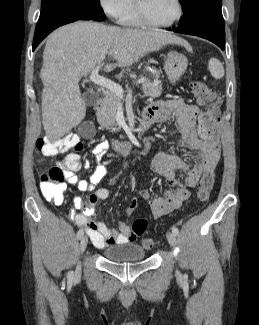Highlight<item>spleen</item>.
<instances>
[{
  "label": "spleen",
  "mask_w": 259,
  "mask_h": 325,
  "mask_svg": "<svg viewBox=\"0 0 259 325\" xmlns=\"http://www.w3.org/2000/svg\"><path fill=\"white\" fill-rule=\"evenodd\" d=\"M208 69L215 79L224 77L225 71L222 63L217 58H211L208 62Z\"/></svg>",
  "instance_id": "obj_1"
}]
</instances>
